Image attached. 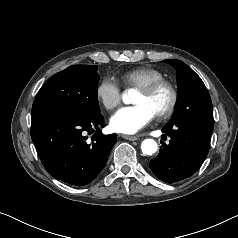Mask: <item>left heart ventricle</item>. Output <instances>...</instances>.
I'll return each mask as SVG.
<instances>
[{"instance_id":"obj_1","label":"left heart ventricle","mask_w":238,"mask_h":238,"mask_svg":"<svg viewBox=\"0 0 238 238\" xmlns=\"http://www.w3.org/2000/svg\"><path fill=\"white\" fill-rule=\"evenodd\" d=\"M169 101L170 95L166 89H160L152 95H147L139 90L135 98L136 104L146 103L155 113L165 109Z\"/></svg>"}]
</instances>
